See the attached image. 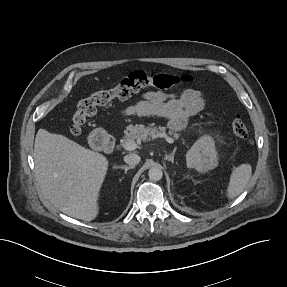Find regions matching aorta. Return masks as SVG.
I'll use <instances>...</instances> for the list:
<instances>
[{
  "mask_svg": "<svg viewBox=\"0 0 287 287\" xmlns=\"http://www.w3.org/2000/svg\"><path fill=\"white\" fill-rule=\"evenodd\" d=\"M148 175L151 180L158 181L162 178L163 172L158 167H152L149 169Z\"/></svg>",
  "mask_w": 287,
  "mask_h": 287,
  "instance_id": "762f6f07",
  "label": "aorta"
}]
</instances>
